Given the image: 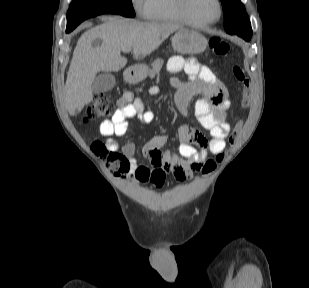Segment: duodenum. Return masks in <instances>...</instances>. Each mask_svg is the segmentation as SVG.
<instances>
[{
  "mask_svg": "<svg viewBox=\"0 0 309 288\" xmlns=\"http://www.w3.org/2000/svg\"><path fill=\"white\" fill-rule=\"evenodd\" d=\"M126 75H127V77H129V78H133V76H134V70L132 69V68H127L126 69Z\"/></svg>",
  "mask_w": 309,
  "mask_h": 288,
  "instance_id": "410a0bca",
  "label": "duodenum"
}]
</instances>
